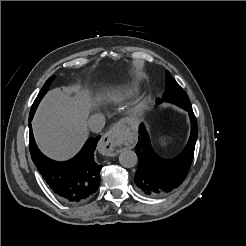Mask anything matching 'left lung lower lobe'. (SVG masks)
<instances>
[{"instance_id": "0a47b994", "label": "left lung lower lobe", "mask_w": 246, "mask_h": 246, "mask_svg": "<svg viewBox=\"0 0 246 246\" xmlns=\"http://www.w3.org/2000/svg\"><path fill=\"white\" fill-rule=\"evenodd\" d=\"M182 108L189 112L191 134L182 153L173 159L160 158L152 149L144 125L139 127L138 143L135 147L139 163L134 182L146 195H164L177 188L188 174L194 156L198 127L191 105Z\"/></svg>"}]
</instances>
